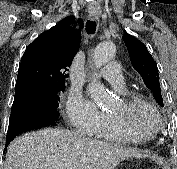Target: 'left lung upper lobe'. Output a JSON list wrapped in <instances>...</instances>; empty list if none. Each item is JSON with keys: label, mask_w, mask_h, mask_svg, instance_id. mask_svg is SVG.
Returning <instances> with one entry per match:
<instances>
[{"label": "left lung upper lobe", "mask_w": 177, "mask_h": 169, "mask_svg": "<svg viewBox=\"0 0 177 169\" xmlns=\"http://www.w3.org/2000/svg\"><path fill=\"white\" fill-rule=\"evenodd\" d=\"M123 41L135 70L141 75L145 85L151 89L155 99L163 107L158 68L147 47L125 31Z\"/></svg>", "instance_id": "obj_1"}]
</instances>
